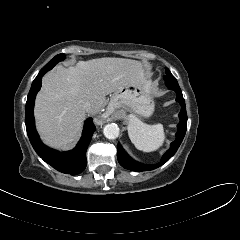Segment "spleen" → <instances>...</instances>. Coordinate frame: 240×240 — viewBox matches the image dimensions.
Segmentation results:
<instances>
[{
	"mask_svg": "<svg viewBox=\"0 0 240 240\" xmlns=\"http://www.w3.org/2000/svg\"><path fill=\"white\" fill-rule=\"evenodd\" d=\"M128 135L135 147L144 152H152L160 148L165 140L161 124L149 125L136 116L129 117Z\"/></svg>",
	"mask_w": 240,
	"mask_h": 240,
	"instance_id": "1",
	"label": "spleen"
}]
</instances>
